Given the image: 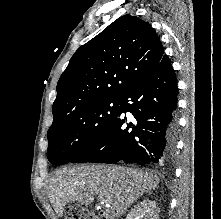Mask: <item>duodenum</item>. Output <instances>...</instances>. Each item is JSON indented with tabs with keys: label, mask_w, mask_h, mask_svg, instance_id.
I'll use <instances>...</instances> for the list:
<instances>
[{
	"label": "duodenum",
	"mask_w": 221,
	"mask_h": 219,
	"mask_svg": "<svg viewBox=\"0 0 221 219\" xmlns=\"http://www.w3.org/2000/svg\"><path fill=\"white\" fill-rule=\"evenodd\" d=\"M98 217H99V219H114L110 214H108L105 211H100L98 213Z\"/></svg>",
	"instance_id": "1"
}]
</instances>
